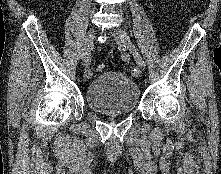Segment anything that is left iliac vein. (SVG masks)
<instances>
[{
  "instance_id": "1",
  "label": "left iliac vein",
  "mask_w": 221,
  "mask_h": 174,
  "mask_svg": "<svg viewBox=\"0 0 221 174\" xmlns=\"http://www.w3.org/2000/svg\"><path fill=\"white\" fill-rule=\"evenodd\" d=\"M112 33L114 37L130 51L137 65L141 69H144L145 68L144 60L142 56L140 55V53L138 52V50L136 49L133 42L131 41L129 35L120 29H113Z\"/></svg>"
}]
</instances>
